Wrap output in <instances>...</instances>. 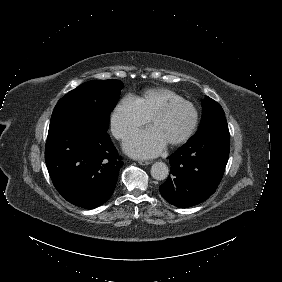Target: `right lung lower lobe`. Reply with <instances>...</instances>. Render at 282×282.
I'll return each mask as SVG.
<instances>
[{"instance_id":"98d812e1","label":"right lung lower lobe","mask_w":282,"mask_h":282,"mask_svg":"<svg viewBox=\"0 0 282 282\" xmlns=\"http://www.w3.org/2000/svg\"><path fill=\"white\" fill-rule=\"evenodd\" d=\"M122 157L108 133L80 115L49 127L45 161L58 192L85 209L104 204L113 194Z\"/></svg>"}]
</instances>
